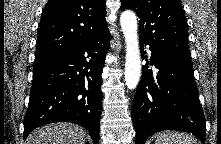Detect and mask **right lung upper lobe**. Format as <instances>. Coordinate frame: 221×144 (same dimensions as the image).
<instances>
[{"mask_svg":"<svg viewBox=\"0 0 221 144\" xmlns=\"http://www.w3.org/2000/svg\"><path fill=\"white\" fill-rule=\"evenodd\" d=\"M105 2L48 0L41 17L35 56H56L108 30Z\"/></svg>","mask_w":221,"mask_h":144,"instance_id":"right-lung-upper-lobe-1","label":"right lung upper lobe"}]
</instances>
